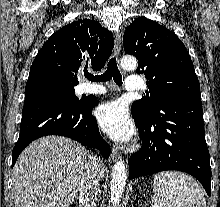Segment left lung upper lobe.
Masks as SVG:
<instances>
[{
  "mask_svg": "<svg viewBox=\"0 0 220 207\" xmlns=\"http://www.w3.org/2000/svg\"><path fill=\"white\" fill-rule=\"evenodd\" d=\"M124 50L138 59L137 73L148 79L147 97L133 102L132 114L141 120L156 116L166 102L180 97L201 96L190 55L170 30L146 17L126 29Z\"/></svg>",
  "mask_w": 220,
  "mask_h": 207,
  "instance_id": "5c2ea615",
  "label": "left lung upper lobe"
}]
</instances>
